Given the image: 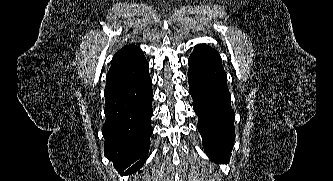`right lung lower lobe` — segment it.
I'll return each instance as SVG.
<instances>
[{
	"label": "right lung lower lobe",
	"instance_id": "1",
	"mask_svg": "<svg viewBox=\"0 0 333 181\" xmlns=\"http://www.w3.org/2000/svg\"><path fill=\"white\" fill-rule=\"evenodd\" d=\"M105 98V156L121 175L133 174L146 160L152 134L153 93L149 73L105 94Z\"/></svg>",
	"mask_w": 333,
	"mask_h": 181
}]
</instances>
